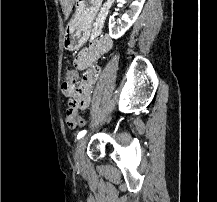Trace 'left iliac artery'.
Returning <instances> with one entry per match:
<instances>
[{
	"instance_id": "left-iliac-artery-1",
	"label": "left iliac artery",
	"mask_w": 217,
	"mask_h": 202,
	"mask_svg": "<svg viewBox=\"0 0 217 202\" xmlns=\"http://www.w3.org/2000/svg\"><path fill=\"white\" fill-rule=\"evenodd\" d=\"M86 133H87L86 130H82V131H80V132L78 133V135H77V139H78V140L81 139L82 137L85 136Z\"/></svg>"
}]
</instances>
